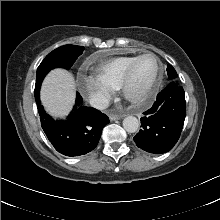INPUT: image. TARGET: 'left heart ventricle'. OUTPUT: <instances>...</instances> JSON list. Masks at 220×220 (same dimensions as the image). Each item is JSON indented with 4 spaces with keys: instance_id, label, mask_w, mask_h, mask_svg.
Returning a JSON list of instances; mask_svg holds the SVG:
<instances>
[{
    "instance_id": "obj_1",
    "label": "left heart ventricle",
    "mask_w": 220,
    "mask_h": 220,
    "mask_svg": "<svg viewBox=\"0 0 220 220\" xmlns=\"http://www.w3.org/2000/svg\"><path fill=\"white\" fill-rule=\"evenodd\" d=\"M156 72V59L152 56H146L142 58L135 67L130 85V93L133 95L142 93L153 80Z\"/></svg>"
}]
</instances>
